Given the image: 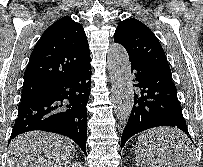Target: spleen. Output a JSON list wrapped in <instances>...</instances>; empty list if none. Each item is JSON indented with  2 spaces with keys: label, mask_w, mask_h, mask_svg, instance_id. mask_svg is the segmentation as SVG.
<instances>
[{
  "label": "spleen",
  "mask_w": 203,
  "mask_h": 167,
  "mask_svg": "<svg viewBox=\"0 0 203 167\" xmlns=\"http://www.w3.org/2000/svg\"><path fill=\"white\" fill-rule=\"evenodd\" d=\"M176 141H177L176 143L186 146V151L182 154H179L180 156H182L181 158L184 159L183 161L185 163L187 162V165L185 167H192L193 154H192L191 150L189 149L190 141L184 134H180ZM146 147L148 148L147 150L149 152L147 157H145V154H144ZM170 156H173V154H170ZM136 161L140 165L145 164V165H148L149 167H166V166L172 167V166L168 165V164H170V161H172V160H159L157 157L156 151L146 144V141L144 140V138L142 136L139 139V143L137 145Z\"/></svg>",
  "instance_id": "1"
}]
</instances>
